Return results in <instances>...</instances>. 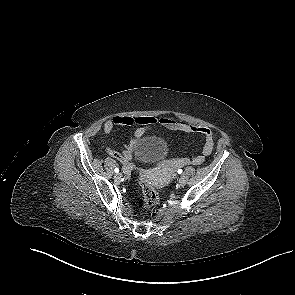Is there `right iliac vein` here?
<instances>
[{"instance_id": "right-iliac-vein-1", "label": "right iliac vein", "mask_w": 295, "mask_h": 295, "mask_svg": "<svg viewBox=\"0 0 295 295\" xmlns=\"http://www.w3.org/2000/svg\"><path fill=\"white\" fill-rule=\"evenodd\" d=\"M121 177H122V174L121 173H117L115 175V179H117V180L121 179Z\"/></svg>"}]
</instances>
